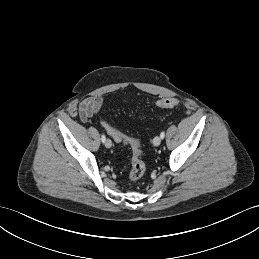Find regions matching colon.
<instances>
[{
	"label": "colon",
	"mask_w": 259,
	"mask_h": 259,
	"mask_svg": "<svg viewBox=\"0 0 259 259\" xmlns=\"http://www.w3.org/2000/svg\"><path fill=\"white\" fill-rule=\"evenodd\" d=\"M155 105L160 108H176L179 105V101L175 98H165L158 100ZM104 127L107 133L116 142L128 145L132 148L133 155L131 158L128 178L132 182L138 181L144 175L146 169L145 163L142 159L143 151L141 142L136 138L123 134L107 121L104 122Z\"/></svg>",
	"instance_id": "colon-1"
}]
</instances>
